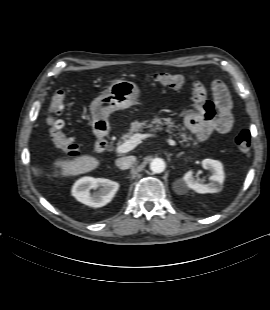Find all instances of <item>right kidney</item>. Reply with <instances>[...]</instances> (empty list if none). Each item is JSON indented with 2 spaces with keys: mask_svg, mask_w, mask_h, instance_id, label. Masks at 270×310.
I'll list each match as a JSON object with an SVG mask.
<instances>
[{
  "mask_svg": "<svg viewBox=\"0 0 270 310\" xmlns=\"http://www.w3.org/2000/svg\"><path fill=\"white\" fill-rule=\"evenodd\" d=\"M119 188L117 182L105 178L83 177L72 187V196L90 207H102L109 203ZM91 189L97 190L93 193Z\"/></svg>",
  "mask_w": 270,
  "mask_h": 310,
  "instance_id": "ca27d5eb",
  "label": "right kidney"
}]
</instances>
